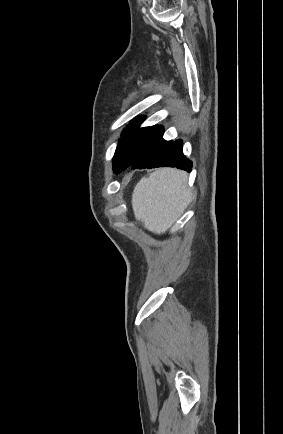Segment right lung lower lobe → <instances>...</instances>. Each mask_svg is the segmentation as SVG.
<instances>
[{
  "mask_svg": "<svg viewBox=\"0 0 283 434\" xmlns=\"http://www.w3.org/2000/svg\"><path fill=\"white\" fill-rule=\"evenodd\" d=\"M182 141H165L159 139L153 144L134 164L133 169L155 167H177L188 172L191 171L192 162L187 159L182 151Z\"/></svg>",
  "mask_w": 283,
  "mask_h": 434,
  "instance_id": "obj_1",
  "label": "right lung lower lobe"
}]
</instances>
